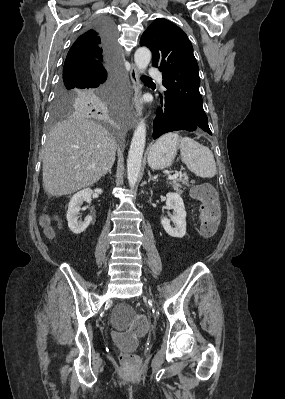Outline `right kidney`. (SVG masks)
<instances>
[{
    "mask_svg": "<svg viewBox=\"0 0 285 399\" xmlns=\"http://www.w3.org/2000/svg\"><path fill=\"white\" fill-rule=\"evenodd\" d=\"M102 194V189H95L94 191L90 188L83 189L82 191L74 194L69 202L67 211V221L68 227L74 234H80L86 230L89 224L92 222V216L88 215L85 217L84 221H79V212L81 210V205L84 201L90 202L93 193Z\"/></svg>",
    "mask_w": 285,
    "mask_h": 399,
    "instance_id": "1",
    "label": "right kidney"
}]
</instances>
